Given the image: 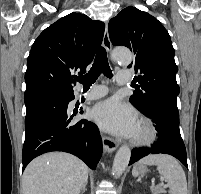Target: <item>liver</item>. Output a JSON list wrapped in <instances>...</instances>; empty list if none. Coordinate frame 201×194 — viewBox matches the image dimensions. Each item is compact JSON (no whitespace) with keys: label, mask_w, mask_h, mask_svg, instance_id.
Here are the masks:
<instances>
[{"label":"liver","mask_w":201,"mask_h":194,"mask_svg":"<svg viewBox=\"0 0 201 194\" xmlns=\"http://www.w3.org/2000/svg\"><path fill=\"white\" fill-rule=\"evenodd\" d=\"M88 181V167L63 152L41 155L31 161L22 177L23 194H80Z\"/></svg>","instance_id":"1"}]
</instances>
